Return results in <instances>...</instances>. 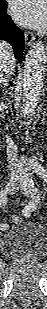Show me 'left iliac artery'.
<instances>
[{
    "label": "left iliac artery",
    "mask_w": 47,
    "mask_h": 309,
    "mask_svg": "<svg viewBox=\"0 0 47 309\" xmlns=\"http://www.w3.org/2000/svg\"><path fill=\"white\" fill-rule=\"evenodd\" d=\"M31 167L38 175H40L44 180H46L47 172L38 162L32 163ZM34 209L35 208H33L31 205L28 206V210H34Z\"/></svg>",
    "instance_id": "44dca946"
}]
</instances>
